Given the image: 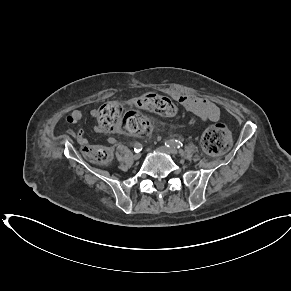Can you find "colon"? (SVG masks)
Instances as JSON below:
<instances>
[{"instance_id": "1", "label": "colon", "mask_w": 291, "mask_h": 291, "mask_svg": "<svg viewBox=\"0 0 291 291\" xmlns=\"http://www.w3.org/2000/svg\"><path fill=\"white\" fill-rule=\"evenodd\" d=\"M133 105L144 111L154 112L164 116L175 114L174 103L158 93L146 92L134 98ZM98 129L104 132L125 130L136 135H143L148 128V119L139 111H124L120 101H110L100 107L97 114ZM231 143L230 131L224 124H216L208 128L202 136L204 149L213 155L226 151ZM83 154L90 160L107 164L112 157L111 150L104 146L85 145Z\"/></svg>"}]
</instances>
